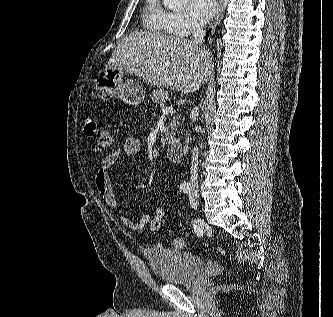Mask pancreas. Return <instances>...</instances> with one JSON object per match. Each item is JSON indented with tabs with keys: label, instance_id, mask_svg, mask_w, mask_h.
Listing matches in <instances>:
<instances>
[{
	"label": "pancreas",
	"instance_id": "obj_1",
	"mask_svg": "<svg viewBox=\"0 0 333 317\" xmlns=\"http://www.w3.org/2000/svg\"><path fill=\"white\" fill-rule=\"evenodd\" d=\"M150 99L155 103L156 108H162L164 107L165 102L169 101V96L166 91H163L162 89H156L152 91ZM180 118V116L173 118L172 122L167 127L166 133L163 136V144L175 137L174 131H176L177 126L180 125Z\"/></svg>",
	"mask_w": 333,
	"mask_h": 317
}]
</instances>
